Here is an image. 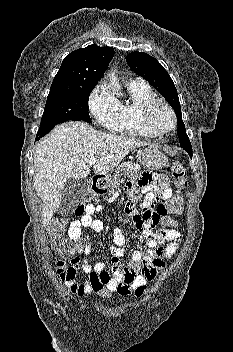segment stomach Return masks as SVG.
I'll list each match as a JSON object with an SVG mask.
<instances>
[{
    "label": "stomach",
    "mask_w": 233,
    "mask_h": 352,
    "mask_svg": "<svg viewBox=\"0 0 233 352\" xmlns=\"http://www.w3.org/2000/svg\"><path fill=\"white\" fill-rule=\"evenodd\" d=\"M139 162L146 168L159 169L165 166L166 157L156 148H145L138 154Z\"/></svg>",
    "instance_id": "stomach-1"
}]
</instances>
